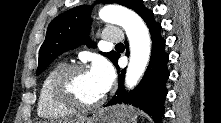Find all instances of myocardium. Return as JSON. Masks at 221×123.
<instances>
[{
  "instance_id": "obj_1",
  "label": "myocardium",
  "mask_w": 221,
  "mask_h": 123,
  "mask_svg": "<svg viewBox=\"0 0 221 123\" xmlns=\"http://www.w3.org/2000/svg\"><path fill=\"white\" fill-rule=\"evenodd\" d=\"M88 68L82 64H69L61 68L53 78L52 94L54 99L62 106L73 111H91L99 108L106 100V95L93 103H84L76 98L70 90L72 77L80 72H86Z\"/></svg>"
}]
</instances>
